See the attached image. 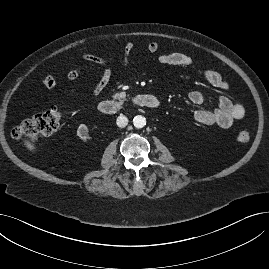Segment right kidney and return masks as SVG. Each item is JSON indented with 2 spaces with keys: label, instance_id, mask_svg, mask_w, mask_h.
<instances>
[{
  "label": "right kidney",
  "instance_id": "ca27d5eb",
  "mask_svg": "<svg viewBox=\"0 0 269 269\" xmlns=\"http://www.w3.org/2000/svg\"><path fill=\"white\" fill-rule=\"evenodd\" d=\"M88 128L85 124H80L77 129V135L82 139L85 140L87 143H92L94 140L91 138H87Z\"/></svg>",
  "mask_w": 269,
  "mask_h": 269
}]
</instances>
